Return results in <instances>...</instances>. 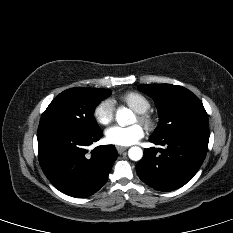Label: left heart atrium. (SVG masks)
<instances>
[{"label":"left heart atrium","mask_w":233,"mask_h":233,"mask_svg":"<svg viewBox=\"0 0 233 233\" xmlns=\"http://www.w3.org/2000/svg\"><path fill=\"white\" fill-rule=\"evenodd\" d=\"M144 136V129L139 124L131 126H112L106 131V139L110 144L129 146L137 143Z\"/></svg>","instance_id":"obj_1"}]
</instances>
